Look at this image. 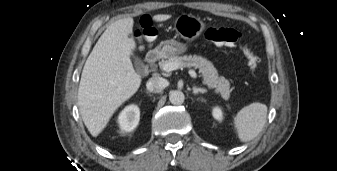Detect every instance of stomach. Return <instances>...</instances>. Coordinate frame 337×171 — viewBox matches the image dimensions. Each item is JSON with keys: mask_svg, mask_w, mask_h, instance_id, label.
<instances>
[{"mask_svg": "<svg viewBox=\"0 0 337 171\" xmlns=\"http://www.w3.org/2000/svg\"><path fill=\"white\" fill-rule=\"evenodd\" d=\"M205 28V23L198 17L191 14H182L176 20L174 29L185 40L196 39ZM159 52L165 57H171L184 53L187 46L176 40H166L157 47Z\"/></svg>", "mask_w": 337, "mask_h": 171, "instance_id": "0dacf381", "label": "stomach"}]
</instances>
